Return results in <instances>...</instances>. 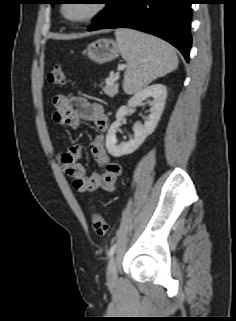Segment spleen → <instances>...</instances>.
Here are the masks:
<instances>
[{"label": "spleen", "instance_id": "1", "mask_svg": "<svg viewBox=\"0 0 236 321\" xmlns=\"http://www.w3.org/2000/svg\"><path fill=\"white\" fill-rule=\"evenodd\" d=\"M116 42L127 66L123 89L127 94L141 91L158 77L178 66L175 50L165 41L130 29H117Z\"/></svg>", "mask_w": 236, "mask_h": 321}]
</instances>
